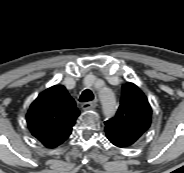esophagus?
<instances>
[{"label":"esophagus","instance_id":"34e87169","mask_svg":"<svg viewBox=\"0 0 184 173\" xmlns=\"http://www.w3.org/2000/svg\"><path fill=\"white\" fill-rule=\"evenodd\" d=\"M81 107L83 110L94 109L97 107V102L96 101L85 102L81 105Z\"/></svg>","mask_w":184,"mask_h":173}]
</instances>
